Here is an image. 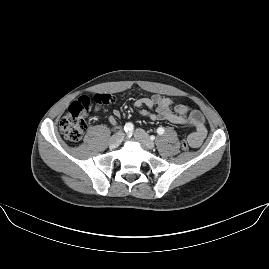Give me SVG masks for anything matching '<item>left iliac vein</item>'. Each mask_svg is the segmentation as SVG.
Here are the masks:
<instances>
[{
	"label": "left iliac vein",
	"mask_w": 269,
	"mask_h": 269,
	"mask_svg": "<svg viewBox=\"0 0 269 269\" xmlns=\"http://www.w3.org/2000/svg\"><path fill=\"white\" fill-rule=\"evenodd\" d=\"M134 137L137 142H139L144 148L148 150H151L155 147V143L150 139L148 134L140 128L135 130Z\"/></svg>",
	"instance_id": "4c4485c4"
}]
</instances>
